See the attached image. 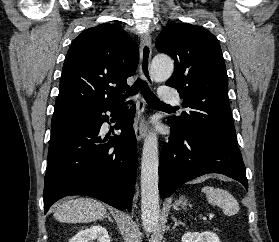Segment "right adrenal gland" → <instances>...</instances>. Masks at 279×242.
Segmentation results:
<instances>
[{
    "mask_svg": "<svg viewBox=\"0 0 279 242\" xmlns=\"http://www.w3.org/2000/svg\"><path fill=\"white\" fill-rule=\"evenodd\" d=\"M103 218H107L110 222H113V220L111 219L109 214H106L105 217H103Z\"/></svg>",
    "mask_w": 279,
    "mask_h": 242,
    "instance_id": "obj_1",
    "label": "right adrenal gland"
}]
</instances>
